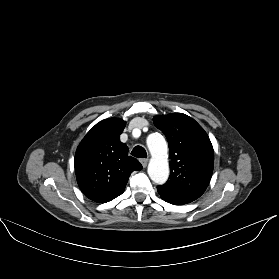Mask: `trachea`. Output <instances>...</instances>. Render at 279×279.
<instances>
[{
  "label": "trachea",
  "mask_w": 279,
  "mask_h": 279,
  "mask_svg": "<svg viewBox=\"0 0 279 279\" xmlns=\"http://www.w3.org/2000/svg\"><path fill=\"white\" fill-rule=\"evenodd\" d=\"M131 155L137 158H146L147 152L142 146H135L131 152Z\"/></svg>",
  "instance_id": "3493384b"
}]
</instances>
